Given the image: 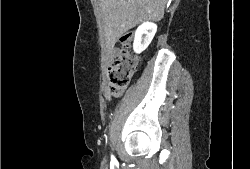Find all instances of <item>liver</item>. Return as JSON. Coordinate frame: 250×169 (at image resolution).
Returning a JSON list of instances; mask_svg holds the SVG:
<instances>
[{"label":"liver","instance_id":"liver-1","mask_svg":"<svg viewBox=\"0 0 250 169\" xmlns=\"http://www.w3.org/2000/svg\"><path fill=\"white\" fill-rule=\"evenodd\" d=\"M106 44L113 48L123 32L144 20H161L167 0H98Z\"/></svg>","mask_w":250,"mask_h":169}]
</instances>
